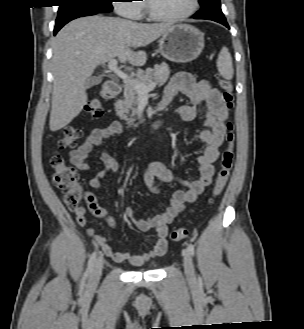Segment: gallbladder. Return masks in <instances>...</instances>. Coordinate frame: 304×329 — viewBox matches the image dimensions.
<instances>
[{
  "label": "gallbladder",
  "mask_w": 304,
  "mask_h": 329,
  "mask_svg": "<svg viewBox=\"0 0 304 329\" xmlns=\"http://www.w3.org/2000/svg\"><path fill=\"white\" fill-rule=\"evenodd\" d=\"M99 82H100V78H98V77H92V78H90L89 81L87 82L86 87H87V88H90V87L96 85V84L99 83Z\"/></svg>",
  "instance_id": "gallbladder-1"
}]
</instances>
